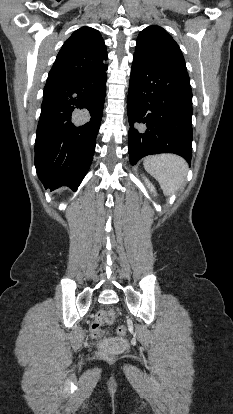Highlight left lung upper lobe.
<instances>
[{"instance_id":"obj_1","label":"left lung upper lobe","mask_w":233,"mask_h":414,"mask_svg":"<svg viewBox=\"0 0 233 414\" xmlns=\"http://www.w3.org/2000/svg\"><path fill=\"white\" fill-rule=\"evenodd\" d=\"M134 56L165 68L187 72L178 44L161 27L152 25L140 32Z\"/></svg>"}]
</instances>
